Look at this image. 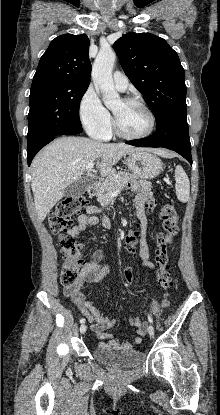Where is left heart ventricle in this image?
Listing matches in <instances>:
<instances>
[{
  "label": "left heart ventricle",
  "mask_w": 220,
  "mask_h": 415,
  "mask_svg": "<svg viewBox=\"0 0 220 415\" xmlns=\"http://www.w3.org/2000/svg\"><path fill=\"white\" fill-rule=\"evenodd\" d=\"M112 111L116 116L120 128L127 134L140 135L145 133L150 125L146 111L138 105L125 104L119 101Z\"/></svg>",
  "instance_id": "1"
}]
</instances>
